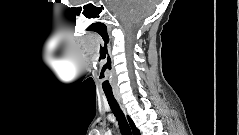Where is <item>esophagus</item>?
I'll return each mask as SVG.
<instances>
[{
	"label": "esophagus",
	"instance_id": "34e87169",
	"mask_svg": "<svg viewBox=\"0 0 239 135\" xmlns=\"http://www.w3.org/2000/svg\"><path fill=\"white\" fill-rule=\"evenodd\" d=\"M115 97H116V99H117V101H118V103H119L121 109L124 110V106H123V104H122L120 95H119L118 93H115Z\"/></svg>",
	"mask_w": 239,
	"mask_h": 135
}]
</instances>
